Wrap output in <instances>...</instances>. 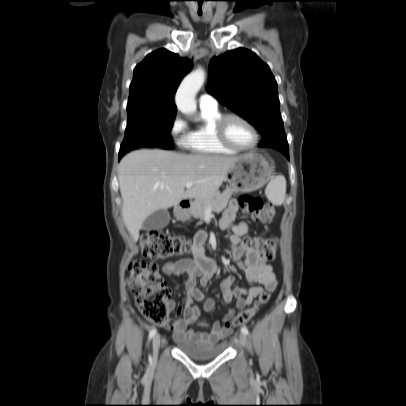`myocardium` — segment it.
<instances>
[{
	"label": "myocardium",
	"mask_w": 406,
	"mask_h": 406,
	"mask_svg": "<svg viewBox=\"0 0 406 406\" xmlns=\"http://www.w3.org/2000/svg\"><path fill=\"white\" fill-rule=\"evenodd\" d=\"M230 119H237V120L243 122L245 125H247L251 129V131L254 135V142L251 146L238 147L229 140V138L227 137V133H226V125ZM215 132H216L218 141L222 145H224L225 147H227L231 150H234L236 152L250 151V150L254 149L259 143V133H258V130L256 129V127L253 125V123L251 121H249L247 118H245L244 116H242L238 113L222 114L215 124Z\"/></svg>",
	"instance_id": "1"
}]
</instances>
